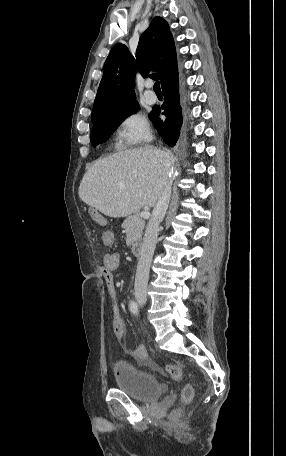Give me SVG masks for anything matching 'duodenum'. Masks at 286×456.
<instances>
[{"mask_svg":"<svg viewBox=\"0 0 286 456\" xmlns=\"http://www.w3.org/2000/svg\"><path fill=\"white\" fill-rule=\"evenodd\" d=\"M142 252V243L136 242L132 244V253L134 255H140Z\"/></svg>","mask_w":286,"mask_h":456,"instance_id":"duodenum-1","label":"duodenum"}]
</instances>
